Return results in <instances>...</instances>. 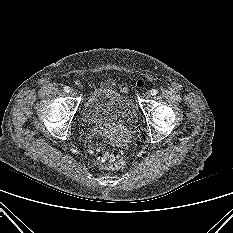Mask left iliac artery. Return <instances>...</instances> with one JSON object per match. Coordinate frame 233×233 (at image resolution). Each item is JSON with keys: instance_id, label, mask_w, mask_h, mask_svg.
<instances>
[{"instance_id": "44dca946", "label": "left iliac artery", "mask_w": 233, "mask_h": 233, "mask_svg": "<svg viewBox=\"0 0 233 233\" xmlns=\"http://www.w3.org/2000/svg\"><path fill=\"white\" fill-rule=\"evenodd\" d=\"M158 93V90L157 89H152L151 90V95H156Z\"/></svg>"}]
</instances>
